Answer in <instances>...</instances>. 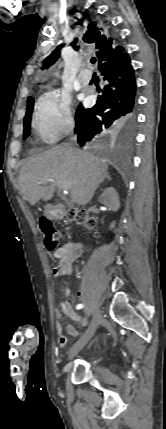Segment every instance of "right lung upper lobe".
<instances>
[{
	"mask_svg": "<svg viewBox=\"0 0 166 429\" xmlns=\"http://www.w3.org/2000/svg\"><path fill=\"white\" fill-rule=\"evenodd\" d=\"M83 40L88 43H95L98 51L96 52V56L98 61L109 60L112 57H117L120 53H124V49L122 46L116 45V40L113 38H109L105 35H102L101 32L96 29H90L86 32L83 37ZM77 39L71 44L75 50L78 47L75 46ZM64 46V44L59 45L43 62L42 70L49 68L53 65L60 56V49ZM31 97L28 98L30 100ZM27 100V101H28Z\"/></svg>",
	"mask_w": 166,
	"mask_h": 429,
	"instance_id": "right-lung-upper-lobe-1",
	"label": "right lung upper lobe"
}]
</instances>
